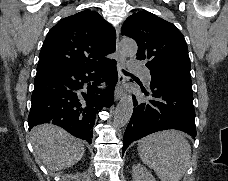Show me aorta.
Masks as SVG:
<instances>
[{
  "mask_svg": "<svg viewBox=\"0 0 228 181\" xmlns=\"http://www.w3.org/2000/svg\"><path fill=\"white\" fill-rule=\"evenodd\" d=\"M119 51L126 57L135 56L137 53V44L133 39L124 38L119 45ZM134 110L131 95H124L115 110L114 126L116 128L124 127L128 124Z\"/></svg>",
  "mask_w": 228,
  "mask_h": 181,
  "instance_id": "aorta-1",
  "label": "aorta"
}]
</instances>
